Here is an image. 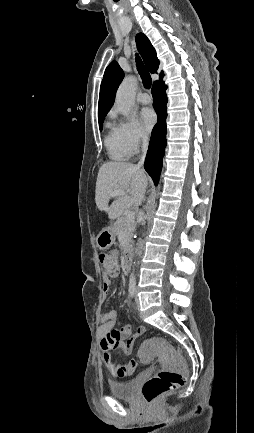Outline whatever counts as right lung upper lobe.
Here are the masks:
<instances>
[{
    "instance_id": "obj_1",
    "label": "right lung upper lobe",
    "mask_w": 254,
    "mask_h": 433,
    "mask_svg": "<svg viewBox=\"0 0 254 433\" xmlns=\"http://www.w3.org/2000/svg\"><path fill=\"white\" fill-rule=\"evenodd\" d=\"M136 43L146 67L151 73H156L159 67V60L150 41L143 33H139L136 35ZM162 76L163 72L160 74V78ZM123 77L124 73L116 61L111 62L106 68L100 86L98 103L99 122L104 121L106 114L111 109L115 100L116 90Z\"/></svg>"
}]
</instances>
